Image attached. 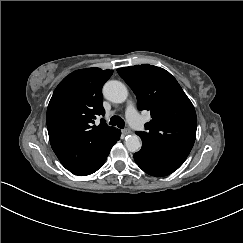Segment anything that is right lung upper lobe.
I'll list each match as a JSON object with an SVG mask.
<instances>
[{"instance_id": "1", "label": "right lung upper lobe", "mask_w": 243, "mask_h": 243, "mask_svg": "<svg viewBox=\"0 0 243 243\" xmlns=\"http://www.w3.org/2000/svg\"><path fill=\"white\" fill-rule=\"evenodd\" d=\"M113 70L88 68L76 70L56 87L47 108L50 143L62 165L69 171L91 163L112 140L121 134L104 119L102 87Z\"/></svg>"}]
</instances>
